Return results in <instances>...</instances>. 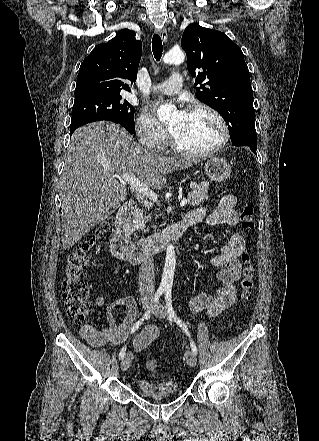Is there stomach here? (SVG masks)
<instances>
[{"label": "stomach", "mask_w": 319, "mask_h": 441, "mask_svg": "<svg viewBox=\"0 0 319 441\" xmlns=\"http://www.w3.org/2000/svg\"><path fill=\"white\" fill-rule=\"evenodd\" d=\"M207 176L214 181L226 179L231 172L230 164L223 158H211L204 164Z\"/></svg>", "instance_id": "obj_1"}]
</instances>
